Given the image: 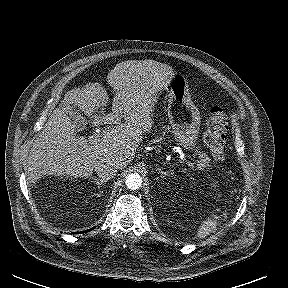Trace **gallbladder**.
<instances>
[{
    "label": "gallbladder",
    "instance_id": "obj_1",
    "mask_svg": "<svg viewBox=\"0 0 288 288\" xmlns=\"http://www.w3.org/2000/svg\"><path fill=\"white\" fill-rule=\"evenodd\" d=\"M62 108H65L68 116L73 120L76 128L82 129L85 127V118L78 111L73 108L69 109L65 102L62 104Z\"/></svg>",
    "mask_w": 288,
    "mask_h": 288
}]
</instances>
